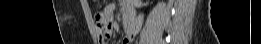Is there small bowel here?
Masks as SVG:
<instances>
[{"label": "small bowel", "instance_id": "c3829d8e", "mask_svg": "<svg viewBox=\"0 0 261 44\" xmlns=\"http://www.w3.org/2000/svg\"><path fill=\"white\" fill-rule=\"evenodd\" d=\"M121 6H122L123 17L129 16L134 19V25H133L131 34H129V35L126 34V36L123 40L124 44H129L132 42L134 36L137 33V27L140 24V20L137 18L135 9L133 8V6L130 3L122 2ZM115 8H116V6L114 4H111L110 6H108L106 8V19L105 20L109 23H113L115 20V18L113 16V11L115 10ZM96 29L102 38L108 37L111 34L110 27L102 22L97 23Z\"/></svg>", "mask_w": 261, "mask_h": 44}]
</instances>
